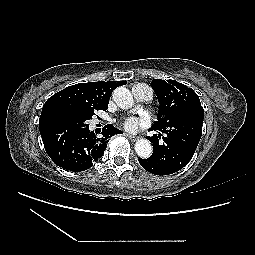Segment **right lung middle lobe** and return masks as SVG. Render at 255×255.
<instances>
[{"mask_svg":"<svg viewBox=\"0 0 255 255\" xmlns=\"http://www.w3.org/2000/svg\"><path fill=\"white\" fill-rule=\"evenodd\" d=\"M94 111H85L82 113H72L66 111H57L47 116L39 126L50 128L57 134L66 138H73L88 126L87 121L92 119Z\"/></svg>","mask_w":255,"mask_h":255,"instance_id":"obj_1","label":"right lung middle lobe"}]
</instances>
